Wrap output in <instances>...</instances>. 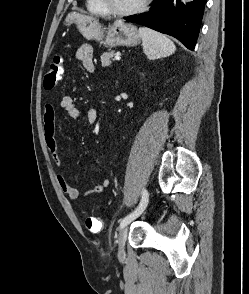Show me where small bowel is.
Wrapping results in <instances>:
<instances>
[{"mask_svg": "<svg viewBox=\"0 0 249 294\" xmlns=\"http://www.w3.org/2000/svg\"><path fill=\"white\" fill-rule=\"evenodd\" d=\"M75 57L78 61L82 62L87 71L93 72L95 70L93 48L90 44L84 43L80 45L76 51ZM60 106L69 117L74 119L83 118L88 125H93L97 120V112L94 108H79L70 96H64L61 99ZM43 131L45 143L50 156L55 165L61 167L66 156L61 152L56 138L55 110L53 105L49 103L44 107ZM89 165L102 166L103 163L100 159L96 158L93 159ZM88 166L83 172V176L88 183V189L84 192L83 198L98 195L104 192L110 185L108 179H102L96 184L92 183L87 170ZM56 179L61 191L68 197V199L72 201L80 199L79 190L69 184L61 170L57 172Z\"/></svg>", "mask_w": 249, "mask_h": 294, "instance_id": "1", "label": "small bowel"}]
</instances>
